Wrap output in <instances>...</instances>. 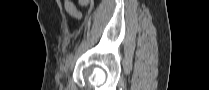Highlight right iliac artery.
Here are the masks:
<instances>
[{"mask_svg":"<svg viewBox=\"0 0 209 90\" xmlns=\"http://www.w3.org/2000/svg\"><path fill=\"white\" fill-rule=\"evenodd\" d=\"M72 57H73V54H72V53L69 54V55L67 56V58H66V62L71 61V60H72Z\"/></svg>","mask_w":209,"mask_h":90,"instance_id":"82829eb1","label":"right iliac artery"}]
</instances>
